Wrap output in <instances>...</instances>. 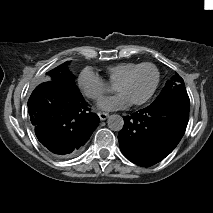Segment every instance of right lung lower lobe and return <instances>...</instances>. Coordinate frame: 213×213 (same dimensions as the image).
Masks as SVG:
<instances>
[{"mask_svg": "<svg viewBox=\"0 0 213 213\" xmlns=\"http://www.w3.org/2000/svg\"><path fill=\"white\" fill-rule=\"evenodd\" d=\"M87 105L78 90L64 83L50 80L37 86L28 111L39 141L60 156L75 153L100 123Z\"/></svg>", "mask_w": 213, "mask_h": 213, "instance_id": "obj_1", "label": "right lung lower lobe"}]
</instances>
